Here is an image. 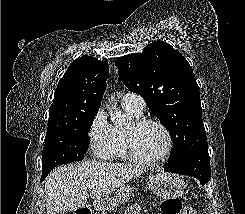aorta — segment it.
<instances>
[{"label":"aorta","mask_w":245,"mask_h":214,"mask_svg":"<svg viewBox=\"0 0 245 214\" xmlns=\"http://www.w3.org/2000/svg\"><path fill=\"white\" fill-rule=\"evenodd\" d=\"M110 118L115 125H122L126 122L125 115L117 109L110 113Z\"/></svg>","instance_id":"obj_1"}]
</instances>
